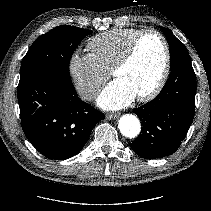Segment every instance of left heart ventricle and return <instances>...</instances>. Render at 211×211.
<instances>
[{"instance_id": "1", "label": "left heart ventricle", "mask_w": 211, "mask_h": 211, "mask_svg": "<svg viewBox=\"0 0 211 211\" xmlns=\"http://www.w3.org/2000/svg\"><path fill=\"white\" fill-rule=\"evenodd\" d=\"M164 64V49L162 42L155 35L144 36L139 42L132 61L115 79L122 81L137 96L150 91L156 84Z\"/></svg>"}]
</instances>
